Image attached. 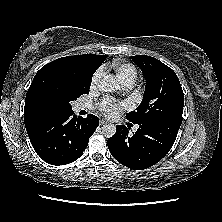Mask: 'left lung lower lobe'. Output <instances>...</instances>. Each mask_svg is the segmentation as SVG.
Segmentation results:
<instances>
[{
  "label": "left lung lower lobe",
  "instance_id": "0a47b994",
  "mask_svg": "<svg viewBox=\"0 0 222 222\" xmlns=\"http://www.w3.org/2000/svg\"><path fill=\"white\" fill-rule=\"evenodd\" d=\"M182 121L160 118L139 124L133 136L124 125L107 141L112 156L124 166L143 170L159 162L173 146Z\"/></svg>",
  "mask_w": 222,
  "mask_h": 222
}]
</instances>
